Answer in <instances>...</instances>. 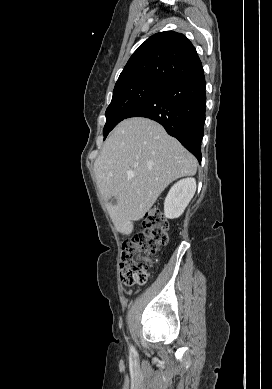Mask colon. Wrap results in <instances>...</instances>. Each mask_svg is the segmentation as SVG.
<instances>
[{
	"instance_id": "colon-1",
	"label": "colon",
	"mask_w": 272,
	"mask_h": 389,
	"mask_svg": "<svg viewBox=\"0 0 272 389\" xmlns=\"http://www.w3.org/2000/svg\"><path fill=\"white\" fill-rule=\"evenodd\" d=\"M142 224L143 231L123 243L120 280L126 286L148 281V257L156 254L168 239V222L158 209L148 211Z\"/></svg>"
}]
</instances>
